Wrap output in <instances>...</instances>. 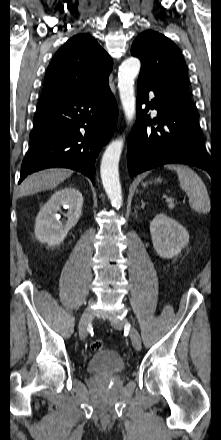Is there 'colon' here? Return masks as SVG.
Masks as SVG:
<instances>
[{
  "mask_svg": "<svg viewBox=\"0 0 221 440\" xmlns=\"http://www.w3.org/2000/svg\"><path fill=\"white\" fill-rule=\"evenodd\" d=\"M104 347H105V343H104L102 340H94V341L91 343V348H92L94 351H101V350L104 349Z\"/></svg>",
  "mask_w": 221,
  "mask_h": 440,
  "instance_id": "5ec220e1",
  "label": "colon"
}]
</instances>
